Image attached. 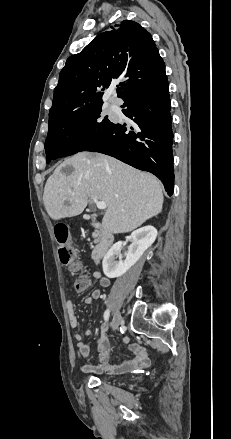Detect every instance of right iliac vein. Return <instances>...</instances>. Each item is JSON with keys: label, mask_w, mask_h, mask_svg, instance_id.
<instances>
[{"label": "right iliac vein", "mask_w": 231, "mask_h": 439, "mask_svg": "<svg viewBox=\"0 0 231 439\" xmlns=\"http://www.w3.org/2000/svg\"><path fill=\"white\" fill-rule=\"evenodd\" d=\"M121 323V314L119 311H116L113 315L111 327L113 330H117Z\"/></svg>", "instance_id": "obj_1"}]
</instances>
